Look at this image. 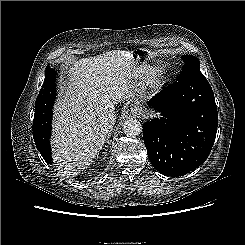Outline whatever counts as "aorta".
Segmentation results:
<instances>
[{"mask_svg": "<svg viewBox=\"0 0 245 245\" xmlns=\"http://www.w3.org/2000/svg\"><path fill=\"white\" fill-rule=\"evenodd\" d=\"M123 130L128 136H138L142 132V124L137 119H128L124 122Z\"/></svg>", "mask_w": 245, "mask_h": 245, "instance_id": "762f6f07", "label": "aorta"}]
</instances>
